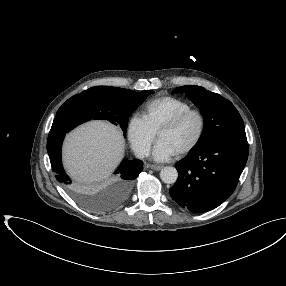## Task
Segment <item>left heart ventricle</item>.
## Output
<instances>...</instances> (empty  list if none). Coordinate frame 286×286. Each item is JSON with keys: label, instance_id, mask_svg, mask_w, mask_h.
<instances>
[{"label": "left heart ventricle", "instance_id": "left-heart-ventricle-1", "mask_svg": "<svg viewBox=\"0 0 286 286\" xmlns=\"http://www.w3.org/2000/svg\"><path fill=\"white\" fill-rule=\"evenodd\" d=\"M199 130V119L196 115L186 118L178 126L163 131L159 140L166 141L177 152L188 146L196 137Z\"/></svg>", "mask_w": 286, "mask_h": 286}]
</instances>
